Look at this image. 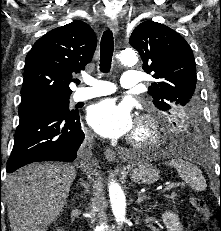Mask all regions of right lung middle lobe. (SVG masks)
Wrapping results in <instances>:
<instances>
[{
    "mask_svg": "<svg viewBox=\"0 0 221 231\" xmlns=\"http://www.w3.org/2000/svg\"><path fill=\"white\" fill-rule=\"evenodd\" d=\"M43 107H53L59 108L64 111L69 110V98H59V97H34L22 99L21 104L18 109V114L21 115L25 112L39 109Z\"/></svg>",
    "mask_w": 221,
    "mask_h": 231,
    "instance_id": "right-lung-middle-lobe-1",
    "label": "right lung middle lobe"
}]
</instances>
